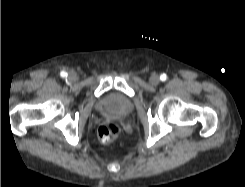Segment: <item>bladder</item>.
Returning a JSON list of instances; mask_svg holds the SVG:
<instances>
[{
  "mask_svg": "<svg viewBox=\"0 0 245 187\" xmlns=\"http://www.w3.org/2000/svg\"><path fill=\"white\" fill-rule=\"evenodd\" d=\"M95 107L103 115L127 116L133 110V103L123 94L112 93L100 98Z\"/></svg>",
  "mask_w": 245,
  "mask_h": 187,
  "instance_id": "obj_1",
  "label": "bladder"
}]
</instances>
